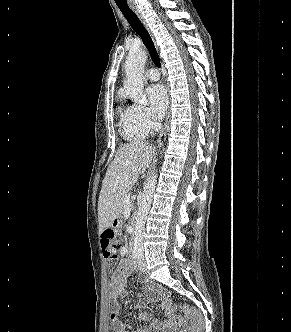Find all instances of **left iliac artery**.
Segmentation results:
<instances>
[{
    "label": "left iliac artery",
    "instance_id": "44dca946",
    "mask_svg": "<svg viewBox=\"0 0 291 332\" xmlns=\"http://www.w3.org/2000/svg\"><path fill=\"white\" fill-rule=\"evenodd\" d=\"M135 258H137L138 260L140 259V256L138 255V256H136Z\"/></svg>",
    "mask_w": 291,
    "mask_h": 332
}]
</instances>
